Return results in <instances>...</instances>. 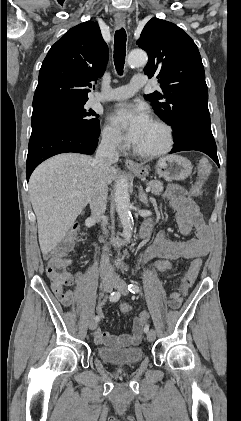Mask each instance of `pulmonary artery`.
I'll return each instance as SVG.
<instances>
[{
	"label": "pulmonary artery",
	"mask_w": 241,
	"mask_h": 421,
	"mask_svg": "<svg viewBox=\"0 0 241 421\" xmlns=\"http://www.w3.org/2000/svg\"><path fill=\"white\" fill-rule=\"evenodd\" d=\"M145 85L143 76H134L129 84L114 88L108 92L99 93L93 98L94 101H113L132 97L139 89Z\"/></svg>",
	"instance_id": "obj_1"
}]
</instances>
